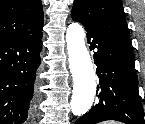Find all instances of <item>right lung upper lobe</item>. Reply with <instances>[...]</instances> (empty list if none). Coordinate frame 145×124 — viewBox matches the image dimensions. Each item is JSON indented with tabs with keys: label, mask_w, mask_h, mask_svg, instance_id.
Instances as JSON below:
<instances>
[{
	"label": "right lung upper lobe",
	"mask_w": 145,
	"mask_h": 124,
	"mask_svg": "<svg viewBox=\"0 0 145 124\" xmlns=\"http://www.w3.org/2000/svg\"><path fill=\"white\" fill-rule=\"evenodd\" d=\"M43 22L41 0H0V40L38 33Z\"/></svg>",
	"instance_id": "cb5924a9"
}]
</instances>
